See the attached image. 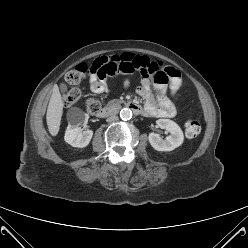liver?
<instances>
[{
	"label": "liver",
	"instance_id": "liver-1",
	"mask_svg": "<svg viewBox=\"0 0 248 248\" xmlns=\"http://www.w3.org/2000/svg\"><path fill=\"white\" fill-rule=\"evenodd\" d=\"M63 106V100L59 91V87L55 85L46 113L48 130L52 136H56L59 132L63 114Z\"/></svg>",
	"mask_w": 248,
	"mask_h": 248
}]
</instances>
